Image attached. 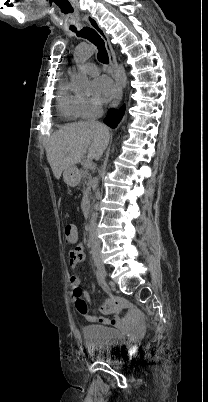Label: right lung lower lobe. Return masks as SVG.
Listing matches in <instances>:
<instances>
[{
    "mask_svg": "<svg viewBox=\"0 0 208 402\" xmlns=\"http://www.w3.org/2000/svg\"><path fill=\"white\" fill-rule=\"evenodd\" d=\"M124 111H125V105H123L118 111L110 109L107 117L104 120V123L114 129L122 119Z\"/></svg>",
    "mask_w": 208,
    "mask_h": 402,
    "instance_id": "98d812e1",
    "label": "right lung lower lobe"
}]
</instances>
